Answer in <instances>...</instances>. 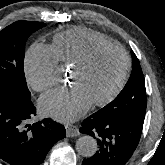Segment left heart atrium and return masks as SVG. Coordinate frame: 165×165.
I'll use <instances>...</instances> for the list:
<instances>
[{
	"mask_svg": "<svg viewBox=\"0 0 165 165\" xmlns=\"http://www.w3.org/2000/svg\"><path fill=\"white\" fill-rule=\"evenodd\" d=\"M90 104L83 92L74 86L51 90L39 102L44 114L60 122L74 121L89 109Z\"/></svg>",
	"mask_w": 165,
	"mask_h": 165,
	"instance_id": "obj_1",
	"label": "left heart atrium"
}]
</instances>
